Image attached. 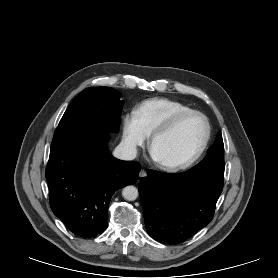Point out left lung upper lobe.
I'll return each mask as SVG.
<instances>
[{"label":"left lung upper lobe","mask_w":278,"mask_h":278,"mask_svg":"<svg viewBox=\"0 0 278 278\" xmlns=\"http://www.w3.org/2000/svg\"><path fill=\"white\" fill-rule=\"evenodd\" d=\"M224 144L221 131L217 133L216 140L208 149L206 157L189 171L202 172L224 177Z\"/></svg>","instance_id":"obj_1"}]
</instances>
